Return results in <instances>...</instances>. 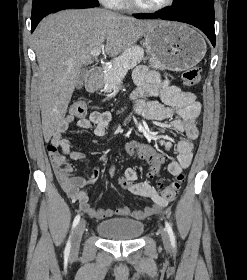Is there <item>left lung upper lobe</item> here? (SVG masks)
<instances>
[{"label":"left lung upper lobe","instance_id":"obj_1","mask_svg":"<svg viewBox=\"0 0 247 280\" xmlns=\"http://www.w3.org/2000/svg\"><path fill=\"white\" fill-rule=\"evenodd\" d=\"M195 7H214V0H176L170 8L172 10H183Z\"/></svg>","mask_w":247,"mask_h":280}]
</instances>
